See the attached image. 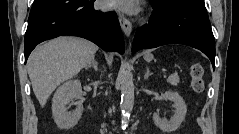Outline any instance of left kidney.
<instances>
[{
	"label": "left kidney",
	"instance_id": "5707ae66",
	"mask_svg": "<svg viewBox=\"0 0 239 134\" xmlns=\"http://www.w3.org/2000/svg\"><path fill=\"white\" fill-rule=\"evenodd\" d=\"M166 100L172 101L174 103L175 112L170 120L161 118L158 113L153 114V120L157 127L163 132H172L177 130L182 121L185 119L187 112V106L183 98L177 93L172 91H167L164 94Z\"/></svg>",
	"mask_w": 239,
	"mask_h": 134
}]
</instances>
